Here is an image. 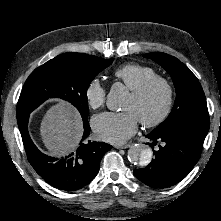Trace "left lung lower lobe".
<instances>
[{"label": "left lung lower lobe", "instance_id": "0a47b994", "mask_svg": "<svg viewBox=\"0 0 221 221\" xmlns=\"http://www.w3.org/2000/svg\"><path fill=\"white\" fill-rule=\"evenodd\" d=\"M146 137L153 140V145L158 141L164 145L153 151L155 158L148 166L133 173L153 188H165L180 182L199 160L204 142V139L188 133L167 136L151 132Z\"/></svg>", "mask_w": 221, "mask_h": 221}]
</instances>
